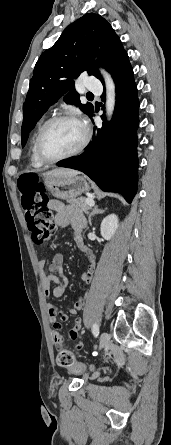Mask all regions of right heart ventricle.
Wrapping results in <instances>:
<instances>
[{"label": "right heart ventricle", "instance_id": "1", "mask_svg": "<svg viewBox=\"0 0 171 445\" xmlns=\"http://www.w3.org/2000/svg\"><path fill=\"white\" fill-rule=\"evenodd\" d=\"M42 125L39 126L34 137L32 138L31 147H30V161H31L32 166H34V167H41L43 165V163L39 161V159L37 158L36 153H35V141H36L37 134H38Z\"/></svg>", "mask_w": 171, "mask_h": 445}]
</instances>
